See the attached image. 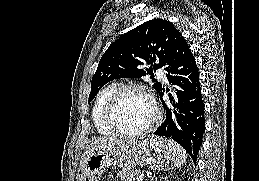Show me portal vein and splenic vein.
Segmentation results:
<instances>
[{"label":"portal vein and splenic vein","mask_w":259,"mask_h":181,"mask_svg":"<svg viewBox=\"0 0 259 181\" xmlns=\"http://www.w3.org/2000/svg\"><path fill=\"white\" fill-rule=\"evenodd\" d=\"M143 179H144V176H143V175H139V176L137 177V181H143Z\"/></svg>","instance_id":"1"}]
</instances>
